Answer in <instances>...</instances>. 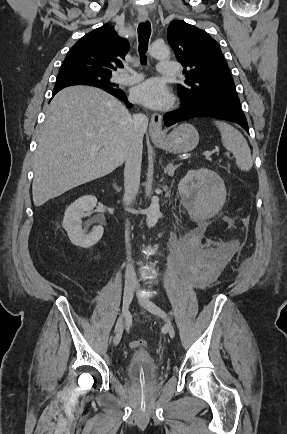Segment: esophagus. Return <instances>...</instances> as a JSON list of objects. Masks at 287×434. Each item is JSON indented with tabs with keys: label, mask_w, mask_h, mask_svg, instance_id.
Wrapping results in <instances>:
<instances>
[{
	"label": "esophagus",
	"mask_w": 287,
	"mask_h": 434,
	"mask_svg": "<svg viewBox=\"0 0 287 434\" xmlns=\"http://www.w3.org/2000/svg\"><path fill=\"white\" fill-rule=\"evenodd\" d=\"M140 21L148 20L147 12H140L138 15ZM149 134L152 140H160L162 138V116L159 113H153L149 124Z\"/></svg>",
	"instance_id": "1"
}]
</instances>
